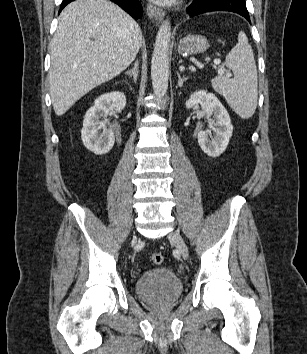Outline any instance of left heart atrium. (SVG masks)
<instances>
[{
  "mask_svg": "<svg viewBox=\"0 0 307 354\" xmlns=\"http://www.w3.org/2000/svg\"><path fill=\"white\" fill-rule=\"evenodd\" d=\"M153 1H155V2H157V3H169V2H171L172 0H153Z\"/></svg>",
  "mask_w": 307,
  "mask_h": 354,
  "instance_id": "1",
  "label": "left heart atrium"
}]
</instances>
